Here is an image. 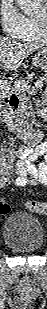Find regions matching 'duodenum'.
<instances>
[{
  "instance_id": "duodenum-1",
  "label": "duodenum",
  "mask_w": 47,
  "mask_h": 309,
  "mask_svg": "<svg viewBox=\"0 0 47 309\" xmlns=\"http://www.w3.org/2000/svg\"><path fill=\"white\" fill-rule=\"evenodd\" d=\"M17 108V102L5 100L1 110V118L19 140L28 147H34L41 141L42 133L38 129L20 126L14 119Z\"/></svg>"
}]
</instances>
